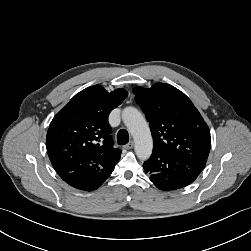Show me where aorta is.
Here are the masks:
<instances>
[{
	"label": "aorta",
	"instance_id": "aorta-1",
	"mask_svg": "<svg viewBox=\"0 0 251 251\" xmlns=\"http://www.w3.org/2000/svg\"><path fill=\"white\" fill-rule=\"evenodd\" d=\"M122 120L130 131L135 142V153L141 160L150 157L153 141L147 121L134 107H126L122 111Z\"/></svg>",
	"mask_w": 251,
	"mask_h": 251
}]
</instances>
